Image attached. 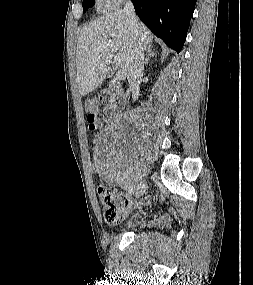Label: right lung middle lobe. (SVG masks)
I'll return each instance as SVG.
<instances>
[{
  "instance_id": "1",
  "label": "right lung middle lobe",
  "mask_w": 253,
  "mask_h": 285,
  "mask_svg": "<svg viewBox=\"0 0 253 285\" xmlns=\"http://www.w3.org/2000/svg\"><path fill=\"white\" fill-rule=\"evenodd\" d=\"M83 12H85L89 7L94 5L93 0H83Z\"/></svg>"
}]
</instances>
